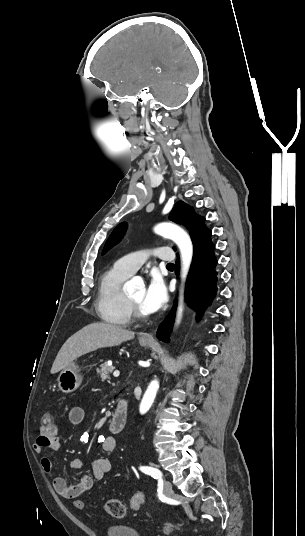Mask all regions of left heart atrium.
Instances as JSON below:
<instances>
[{"label":"left heart atrium","instance_id":"1","mask_svg":"<svg viewBox=\"0 0 305 536\" xmlns=\"http://www.w3.org/2000/svg\"><path fill=\"white\" fill-rule=\"evenodd\" d=\"M164 299L163 281L156 273H151L144 290L141 306L146 312L153 313L162 306Z\"/></svg>","mask_w":305,"mask_h":536}]
</instances>
